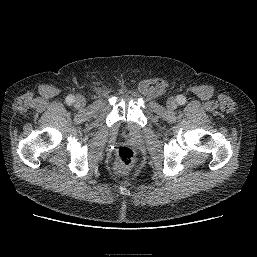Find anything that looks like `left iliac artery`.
Returning <instances> with one entry per match:
<instances>
[{
  "mask_svg": "<svg viewBox=\"0 0 257 257\" xmlns=\"http://www.w3.org/2000/svg\"><path fill=\"white\" fill-rule=\"evenodd\" d=\"M177 102H178L180 105H183V104H185V102H186V98H185L183 95H179V96H177Z\"/></svg>",
  "mask_w": 257,
  "mask_h": 257,
  "instance_id": "obj_1",
  "label": "left iliac artery"
}]
</instances>
